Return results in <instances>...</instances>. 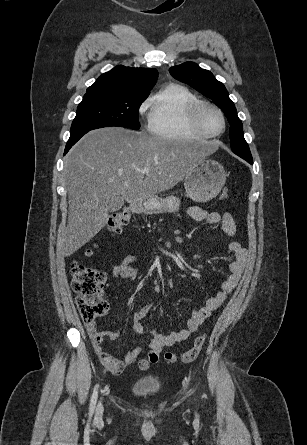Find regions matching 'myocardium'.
<instances>
[{
  "mask_svg": "<svg viewBox=\"0 0 307 445\" xmlns=\"http://www.w3.org/2000/svg\"><path fill=\"white\" fill-rule=\"evenodd\" d=\"M208 108H211V109H214V110L218 111L220 113V115L222 116V118H223L224 129L219 134H212L209 131V129H208L206 123H205L204 113H205L206 109H208ZM193 121H194V124H195L196 129L198 130V132L202 136L207 137V138L220 137L222 134L225 133V131L227 130V127H228V118H227V115L224 112V110L221 107H219L218 105L213 104V103H209V102H201V103H198L196 105V107H195V109L193 111Z\"/></svg>",
  "mask_w": 307,
  "mask_h": 445,
  "instance_id": "myocardium-1",
  "label": "myocardium"
}]
</instances>
